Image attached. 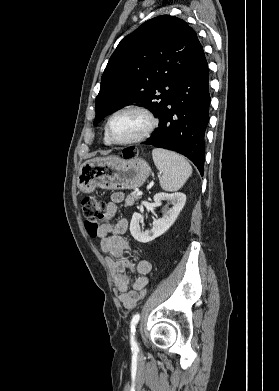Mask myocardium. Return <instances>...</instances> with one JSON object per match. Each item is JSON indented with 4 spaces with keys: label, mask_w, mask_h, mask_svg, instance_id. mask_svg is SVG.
I'll return each mask as SVG.
<instances>
[{
    "label": "myocardium",
    "mask_w": 279,
    "mask_h": 391,
    "mask_svg": "<svg viewBox=\"0 0 279 391\" xmlns=\"http://www.w3.org/2000/svg\"><path fill=\"white\" fill-rule=\"evenodd\" d=\"M125 111H135L138 113H141L147 120V126L144 128V130L139 133L138 135L124 141H117L114 140L110 136V124L112 119L118 115L119 113L125 112ZM158 125V120L156 119L153 112L147 108L146 106L140 105V104H127L124 106L119 107L115 111L111 113V115L108 117L106 125H105V137L108 140L110 144L113 145H130L142 142L149 138L152 133L155 131Z\"/></svg>",
    "instance_id": "obj_1"
}]
</instances>
